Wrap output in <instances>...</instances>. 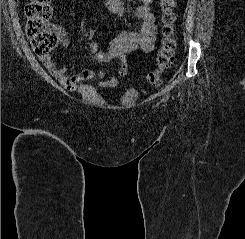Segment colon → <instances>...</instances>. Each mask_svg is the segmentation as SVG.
Listing matches in <instances>:
<instances>
[{"mask_svg": "<svg viewBox=\"0 0 245 239\" xmlns=\"http://www.w3.org/2000/svg\"><path fill=\"white\" fill-rule=\"evenodd\" d=\"M52 0H30L25 6L27 16L26 35L39 57L50 56L58 45V35L49 24L53 14ZM162 9V39L156 56V67L146 80L152 87H158L162 74L173 63L176 48L175 8L177 0H160Z\"/></svg>", "mask_w": 245, "mask_h": 239, "instance_id": "obj_1", "label": "colon"}]
</instances>
